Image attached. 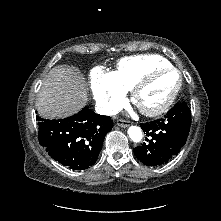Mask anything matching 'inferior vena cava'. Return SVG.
Here are the masks:
<instances>
[{
	"label": "inferior vena cava",
	"instance_id": "inferior-vena-cava-1",
	"mask_svg": "<svg viewBox=\"0 0 221 221\" xmlns=\"http://www.w3.org/2000/svg\"><path fill=\"white\" fill-rule=\"evenodd\" d=\"M96 111L101 115H116L119 112V108L110 104H97Z\"/></svg>",
	"mask_w": 221,
	"mask_h": 221
}]
</instances>
